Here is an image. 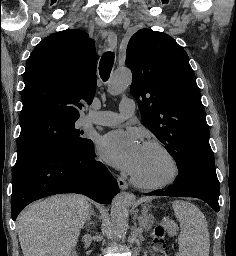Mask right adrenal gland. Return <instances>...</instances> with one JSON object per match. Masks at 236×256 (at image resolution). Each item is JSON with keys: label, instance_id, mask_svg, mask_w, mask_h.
<instances>
[{"label": "right adrenal gland", "instance_id": "2a0ac1e0", "mask_svg": "<svg viewBox=\"0 0 236 256\" xmlns=\"http://www.w3.org/2000/svg\"><path fill=\"white\" fill-rule=\"evenodd\" d=\"M91 210H90V214L87 218V224H86V230H88L89 226H91V224H94V222H91V216H95V212H93L92 210V206H90ZM96 218V216H95Z\"/></svg>", "mask_w": 236, "mask_h": 256}]
</instances>
